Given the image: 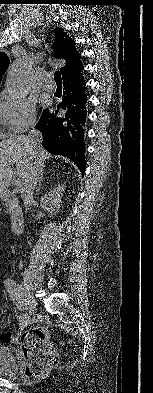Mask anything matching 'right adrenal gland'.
Segmentation results:
<instances>
[{"label":"right adrenal gland","instance_id":"1","mask_svg":"<svg viewBox=\"0 0 153 393\" xmlns=\"http://www.w3.org/2000/svg\"><path fill=\"white\" fill-rule=\"evenodd\" d=\"M42 181H43V173L41 174V177H40V180H39V184H38V187H37V190H36L37 193L40 192V189H41V186H42Z\"/></svg>","mask_w":153,"mask_h":393}]
</instances>
